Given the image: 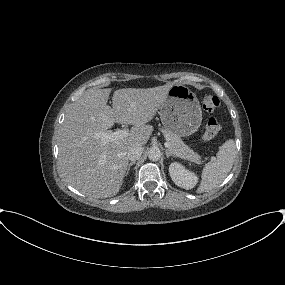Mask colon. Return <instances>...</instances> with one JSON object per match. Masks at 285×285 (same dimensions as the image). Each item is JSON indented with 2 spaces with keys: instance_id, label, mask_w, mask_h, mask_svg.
<instances>
[{
  "instance_id": "1",
  "label": "colon",
  "mask_w": 285,
  "mask_h": 285,
  "mask_svg": "<svg viewBox=\"0 0 285 285\" xmlns=\"http://www.w3.org/2000/svg\"><path fill=\"white\" fill-rule=\"evenodd\" d=\"M201 103L203 109L210 114H213L216 109L220 106L219 98L211 93H203L201 95ZM221 129L220 121L215 116H210L206 122L205 130L203 133L204 141L213 140Z\"/></svg>"
}]
</instances>
